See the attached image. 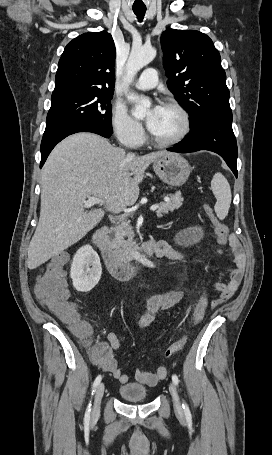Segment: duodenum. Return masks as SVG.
I'll use <instances>...</instances> for the list:
<instances>
[{"label": "duodenum", "instance_id": "1", "mask_svg": "<svg viewBox=\"0 0 272 455\" xmlns=\"http://www.w3.org/2000/svg\"><path fill=\"white\" fill-rule=\"evenodd\" d=\"M108 233V227L104 226L99 228L92 235L90 245L99 252L107 270L116 279H130L134 275L136 267L141 261L153 254H156V243L153 241H147L139 247L134 255L128 258H121L113 253L107 245Z\"/></svg>", "mask_w": 272, "mask_h": 455}]
</instances>
